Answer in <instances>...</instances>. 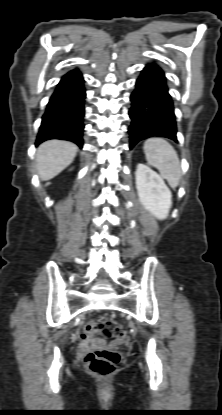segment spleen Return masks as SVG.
Here are the masks:
<instances>
[{
	"mask_svg": "<svg viewBox=\"0 0 222 415\" xmlns=\"http://www.w3.org/2000/svg\"><path fill=\"white\" fill-rule=\"evenodd\" d=\"M143 149L147 162L159 170L171 188H176L181 178V166L173 146L163 138L154 137L145 141Z\"/></svg>",
	"mask_w": 222,
	"mask_h": 415,
	"instance_id": "3e777b00",
	"label": "spleen"
}]
</instances>
